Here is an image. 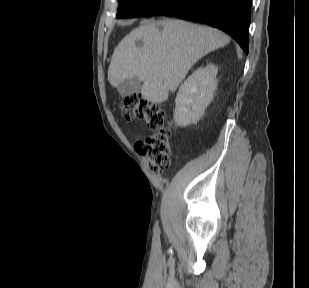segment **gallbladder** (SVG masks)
I'll return each mask as SVG.
<instances>
[{
  "instance_id": "1",
  "label": "gallbladder",
  "mask_w": 309,
  "mask_h": 288,
  "mask_svg": "<svg viewBox=\"0 0 309 288\" xmlns=\"http://www.w3.org/2000/svg\"><path fill=\"white\" fill-rule=\"evenodd\" d=\"M119 94L123 97L138 93L141 90V82L137 77L125 79L117 86Z\"/></svg>"
}]
</instances>
